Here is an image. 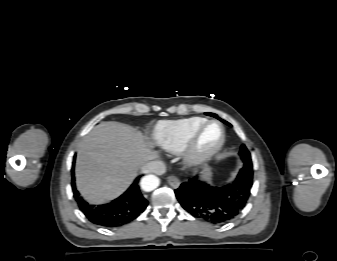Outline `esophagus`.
<instances>
[{
    "label": "esophagus",
    "mask_w": 337,
    "mask_h": 261,
    "mask_svg": "<svg viewBox=\"0 0 337 261\" xmlns=\"http://www.w3.org/2000/svg\"><path fill=\"white\" fill-rule=\"evenodd\" d=\"M167 181L169 183V185L173 188H178L180 186V180L178 177L174 176V175H170L168 178H167Z\"/></svg>",
    "instance_id": "34e87169"
}]
</instances>
